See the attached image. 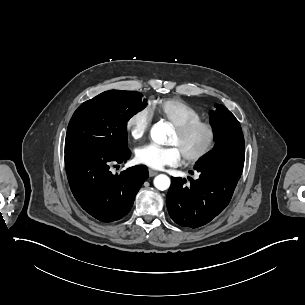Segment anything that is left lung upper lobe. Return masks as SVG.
I'll return each instance as SVG.
<instances>
[{
  "instance_id": "obj_1",
  "label": "left lung upper lobe",
  "mask_w": 305,
  "mask_h": 305,
  "mask_svg": "<svg viewBox=\"0 0 305 305\" xmlns=\"http://www.w3.org/2000/svg\"><path fill=\"white\" fill-rule=\"evenodd\" d=\"M210 113V124L214 132L215 146L199 164L207 162L244 163L245 145L240 123L223 105H215Z\"/></svg>"
}]
</instances>
